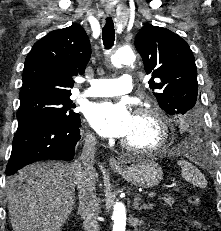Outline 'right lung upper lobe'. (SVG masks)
Segmentation results:
<instances>
[{"label":"right lung upper lobe","instance_id":"cb5924a9","mask_svg":"<svg viewBox=\"0 0 221 231\" xmlns=\"http://www.w3.org/2000/svg\"><path fill=\"white\" fill-rule=\"evenodd\" d=\"M91 56L81 25L51 31L25 59L20 99L39 95L70 96L73 76L83 75Z\"/></svg>","mask_w":221,"mask_h":231}]
</instances>
